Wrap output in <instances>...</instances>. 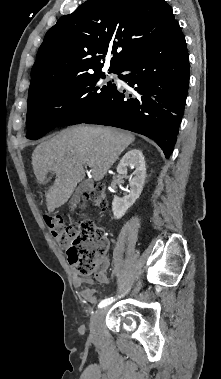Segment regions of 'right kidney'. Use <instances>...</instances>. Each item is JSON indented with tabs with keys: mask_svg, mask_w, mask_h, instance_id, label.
Instances as JSON below:
<instances>
[{
	"mask_svg": "<svg viewBox=\"0 0 221 379\" xmlns=\"http://www.w3.org/2000/svg\"><path fill=\"white\" fill-rule=\"evenodd\" d=\"M134 168V177L129 178L130 193L123 198L114 197L112 202V211L115 219L122 218L126 211L139 198L146 178L145 159L141 150L132 149L128 151L120 160L117 166V172L120 175H127V168Z\"/></svg>",
	"mask_w": 221,
	"mask_h": 379,
	"instance_id": "1",
	"label": "right kidney"
}]
</instances>
